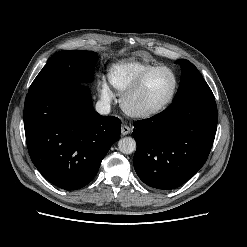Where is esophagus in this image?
<instances>
[{"mask_svg": "<svg viewBox=\"0 0 247 247\" xmlns=\"http://www.w3.org/2000/svg\"><path fill=\"white\" fill-rule=\"evenodd\" d=\"M130 131H131V128L129 126L122 125V127H121V134L123 136L128 135L130 133Z\"/></svg>", "mask_w": 247, "mask_h": 247, "instance_id": "1", "label": "esophagus"}]
</instances>
